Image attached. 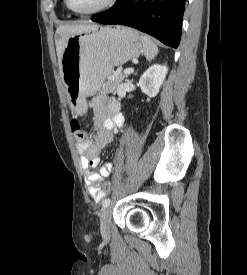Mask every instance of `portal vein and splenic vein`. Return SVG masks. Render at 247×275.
Listing matches in <instances>:
<instances>
[{
  "instance_id": "18ae733b",
  "label": "portal vein and splenic vein",
  "mask_w": 247,
  "mask_h": 275,
  "mask_svg": "<svg viewBox=\"0 0 247 275\" xmlns=\"http://www.w3.org/2000/svg\"><path fill=\"white\" fill-rule=\"evenodd\" d=\"M123 72H124V74H131V73L134 72V69L133 68H127Z\"/></svg>"
}]
</instances>
